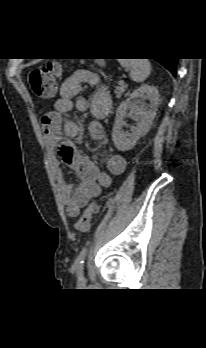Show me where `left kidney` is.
<instances>
[{"label":"left kidney","mask_w":206,"mask_h":348,"mask_svg":"<svg viewBox=\"0 0 206 348\" xmlns=\"http://www.w3.org/2000/svg\"><path fill=\"white\" fill-rule=\"evenodd\" d=\"M145 100H149L150 103L147 104ZM158 105V90L150 85L138 87L129 95L126 101L119 105L112 131L114 145L119 151L132 149L137 141L148 133L156 116ZM128 109H130L133 118L138 120V123L135 128L131 129V134L123 136V120Z\"/></svg>","instance_id":"obj_1"}]
</instances>
